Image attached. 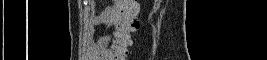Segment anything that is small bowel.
Returning <instances> with one entry per match:
<instances>
[{"instance_id":"1","label":"small bowel","mask_w":267,"mask_h":60,"mask_svg":"<svg viewBox=\"0 0 267 60\" xmlns=\"http://www.w3.org/2000/svg\"><path fill=\"white\" fill-rule=\"evenodd\" d=\"M110 12H111L110 8H106L103 11L102 15L99 18L98 25H104V24L110 23V20H109ZM94 31H95V27L91 31V36H93ZM109 39H110V36L105 35V36L100 37L96 42H91L92 50L97 56L102 52L103 48L107 45Z\"/></svg>"}]
</instances>
